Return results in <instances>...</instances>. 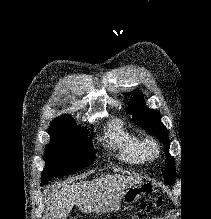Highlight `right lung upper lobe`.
<instances>
[{"instance_id": "right-lung-upper-lobe-1", "label": "right lung upper lobe", "mask_w": 211, "mask_h": 219, "mask_svg": "<svg viewBox=\"0 0 211 219\" xmlns=\"http://www.w3.org/2000/svg\"><path fill=\"white\" fill-rule=\"evenodd\" d=\"M62 119H71L69 116H61V117H58L56 118L55 120H62Z\"/></svg>"}]
</instances>
